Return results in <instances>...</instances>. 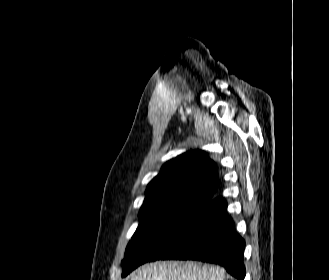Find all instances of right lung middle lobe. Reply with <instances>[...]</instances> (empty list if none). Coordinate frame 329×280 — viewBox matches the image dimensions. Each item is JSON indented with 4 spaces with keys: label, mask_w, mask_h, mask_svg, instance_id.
Listing matches in <instances>:
<instances>
[{
    "label": "right lung middle lobe",
    "mask_w": 329,
    "mask_h": 280,
    "mask_svg": "<svg viewBox=\"0 0 329 280\" xmlns=\"http://www.w3.org/2000/svg\"><path fill=\"white\" fill-rule=\"evenodd\" d=\"M208 201L176 197L158 201L143 210L129 242L122 275L149 261L176 233L199 214Z\"/></svg>",
    "instance_id": "1"
}]
</instances>
